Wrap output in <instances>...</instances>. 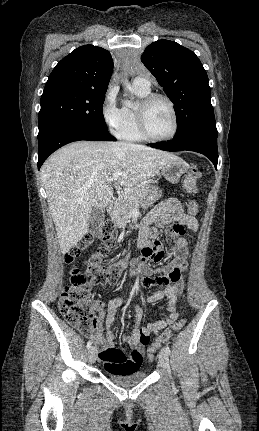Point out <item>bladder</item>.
Instances as JSON below:
<instances>
[{
  "mask_svg": "<svg viewBox=\"0 0 259 431\" xmlns=\"http://www.w3.org/2000/svg\"><path fill=\"white\" fill-rule=\"evenodd\" d=\"M105 374L109 380L122 386L138 383L147 377V373L144 371L106 370Z\"/></svg>",
  "mask_w": 259,
  "mask_h": 431,
  "instance_id": "31cf9c89",
  "label": "bladder"
}]
</instances>
